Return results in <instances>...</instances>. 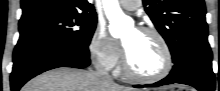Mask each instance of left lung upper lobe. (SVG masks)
<instances>
[{"label": "left lung upper lobe", "instance_id": "obj_1", "mask_svg": "<svg viewBox=\"0 0 220 91\" xmlns=\"http://www.w3.org/2000/svg\"><path fill=\"white\" fill-rule=\"evenodd\" d=\"M143 5L165 39L174 64L185 53L210 49L203 0H143Z\"/></svg>", "mask_w": 220, "mask_h": 91}]
</instances>
